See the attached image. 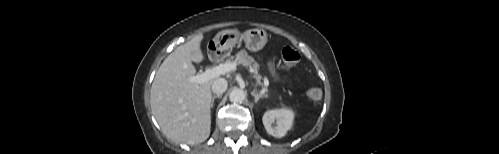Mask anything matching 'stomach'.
I'll return each instance as SVG.
<instances>
[{
  "label": "stomach",
  "mask_w": 499,
  "mask_h": 154,
  "mask_svg": "<svg viewBox=\"0 0 499 154\" xmlns=\"http://www.w3.org/2000/svg\"><path fill=\"white\" fill-rule=\"evenodd\" d=\"M238 40H243L248 50L256 52L266 45L267 33L259 28L247 30L243 34H240L237 30H224L215 36L214 43L219 50H228Z\"/></svg>",
  "instance_id": "obj_1"
}]
</instances>
